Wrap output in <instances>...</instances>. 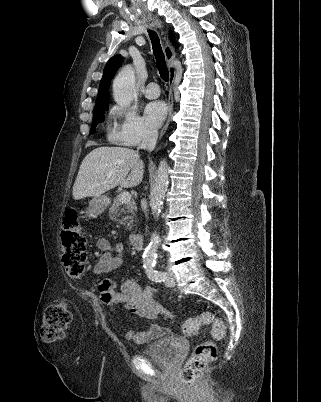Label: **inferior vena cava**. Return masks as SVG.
I'll list each match as a JSON object with an SVG mask.
<instances>
[{
    "instance_id": "obj_1",
    "label": "inferior vena cava",
    "mask_w": 321,
    "mask_h": 402,
    "mask_svg": "<svg viewBox=\"0 0 321 402\" xmlns=\"http://www.w3.org/2000/svg\"><path fill=\"white\" fill-rule=\"evenodd\" d=\"M157 138H158V132L156 130L147 129L143 136L142 143L140 144L138 149H144L150 152L153 151L156 146ZM141 206L142 209L146 211L144 200L141 201Z\"/></svg>"
}]
</instances>
